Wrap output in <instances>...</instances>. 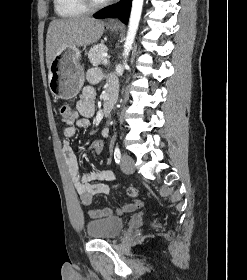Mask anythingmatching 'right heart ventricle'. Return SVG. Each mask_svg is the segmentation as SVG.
<instances>
[{"instance_id":"1","label":"right heart ventricle","mask_w":247,"mask_h":280,"mask_svg":"<svg viewBox=\"0 0 247 280\" xmlns=\"http://www.w3.org/2000/svg\"><path fill=\"white\" fill-rule=\"evenodd\" d=\"M57 15L62 18H74L88 13L89 9L81 0H54Z\"/></svg>"}]
</instances>
